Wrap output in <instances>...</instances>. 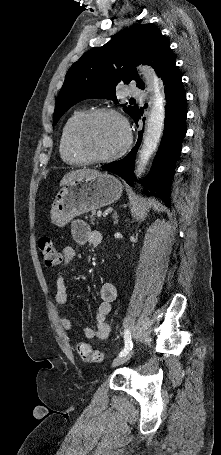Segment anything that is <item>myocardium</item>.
<instances>
[{
    "mask_svg": "<svg viewBox=\"0 0 221 455\" xmlns=\"http://www.w3.org/2000/svg\"><path fill=\"white\" fill-rule=\"evenodd\" d=\"M104 115H111L120 120L125 131V141L123 145L114 153L107 156H95L93 155L84 144V133L86 127L96 118ZM74 145L77 151L89 162V163H107L118 159L123 156L131 146L132 143V130L128 120L116 109L102 107L88 111L78 121L74 129Z\"/></svg>",
    "mask_w": 221,
    "mask_h": 455,
    "instance_id": "obj_1",
    "label": "myocardium"
}]
</instances>
